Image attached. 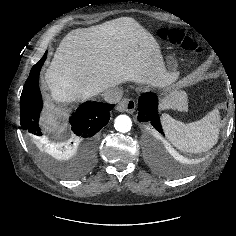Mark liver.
<instances>
[{
	"mask_svg": "<svg viewBox=\"0 0 236 236\" xmlns=\"http://www.w3.org/2000/svg\"><path fill=\"white\" fill-rule=\"evenodd\" d=\"M53 101L69 104L84 101L127 81L166 87L175 79L165 68L156 39L134 18L121 17L68 33L58 46L45 73ZM164 106L187 109L179 92L169 94ZM47 129L58 127L48 113Z\"/></svg>",
	"mask_w": 236,
	"mask_h": 236,
	"instance_id": "1",
	"label": "liver"
}]
</instances>
